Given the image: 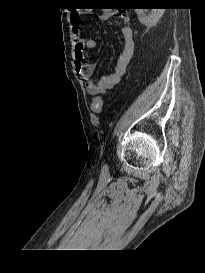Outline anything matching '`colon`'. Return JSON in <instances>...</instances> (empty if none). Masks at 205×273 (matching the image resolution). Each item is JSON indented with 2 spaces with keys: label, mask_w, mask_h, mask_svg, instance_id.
Segmentation results:
<instances>
[{
  "label": "colon",
  "mask_w": 205,
  "mask_h": 273,
  "mask_svg": "<svg viewBox=\"0 0 205 273\" xmlns=\"http://www.w3.org/2000/svg\"><path fill=\"white\" fill-rule=\"evenodd\" d=\"M103 105V99L101 96H97L92 100L91 108L94 112H100Z\"/></svg>",
  "instance_id": "obj_1"
}]
</instances>
